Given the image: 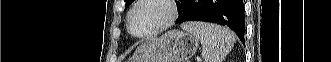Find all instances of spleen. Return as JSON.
<instances>
[{"label":"spleen","mask_w":331,"mask_h":62,"mask_svg":"<svg viewBox=\"0 0 331 62\" xmlns=\"http://www.w3.org/2000/svg\"><path fill=\"white\" fill-rule=\"evenodd\" d=\"M181 27L201 42L204 62H222L235 42L233 32L215 24L186 22Z\"/></svg>","instance_id":"obj_1"}]
</instances>
